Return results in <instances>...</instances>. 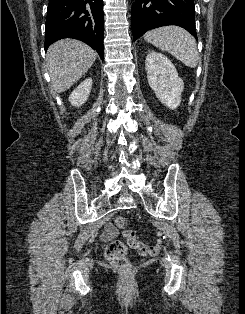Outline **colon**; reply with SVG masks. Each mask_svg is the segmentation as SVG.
<instances>
[{"label":"colon","mask_w":245,"mask_h":314,"mask_svg":"<svg viewBox=\"0 0 245 314\" xmlns=\"http://www.w3.org/2000/svg\"><path fill=\"white\" fill-rule=\"evenodd\" d=\"M116 224L120 229H122L123 236L126 239L127 244L131 248L138 250L140 254L154 256L159 252L158 245H146L138 239L135 231L129 226V222L125 216H117ZM127 254V245L121 240L111 241L105 250L106 258L115 267L122 269L128 268L130 265Z\"/></svg>","instance_id":"1"}]
</instances>
